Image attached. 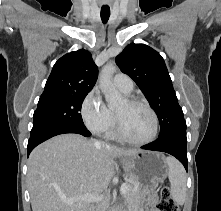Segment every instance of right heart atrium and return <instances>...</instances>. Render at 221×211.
<instances>
[{
    "label": "right heart atrium",
    "mask_w": 221,
    "mask_h": 211,
    "mask_svg": "<svg viewBox=\"0 0 221 211\" xmlns=\"http://www.w3.org/2000/svg\"><path fill=\"white\" fill-rule=\"evenodd\" d=\"M81 116L85 126L97 135L109 134L115 125L113 112L95 89L85 96L81 105Z\"/></svg>",
    "instance_id": "right-heart-atrium-1"
}]
</instances>
